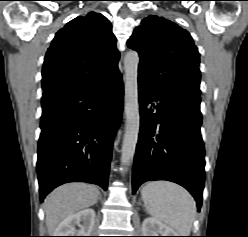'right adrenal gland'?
Instances as JSON below:
<instances>
[{
    "instance_id": "obj_1",
    "label": "right adrenal gland",
    "mask_w": 248,
    "mask_h": 237,
    "mask_svg": "<svg viewBox=\"0 0 248 237\" xmlns=\"http://www.w3.org/2000/svg\"><path fill=\"white\" fill-rule=\"evenodd\" d=\"M98 200H101V194L99 195Z\"/></svg>"
}]
</instances>
